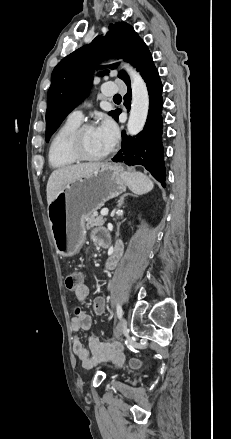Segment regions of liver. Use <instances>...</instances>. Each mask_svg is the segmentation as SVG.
<instances>
[{
    "instance_id": "obj_1",
    "label": "liver",
    "mask_w": 231,
    "mask_h": 439,
    "mask_svg": "<svg viewBox=\"0 0 231 439\" xmlns=\"http://www.w3.org/2000/svg\"><path fill=\"white\" fill-rule=\"evenodd\" d=\"M104 165L103 163H81L77 165H69L54 170L47 182V203L48 205L52 200L65 188L69 183L74 182L78 178L87 176L99 167Z\"/></svg>"
}]
</instances>
